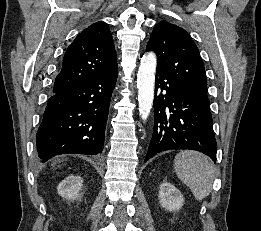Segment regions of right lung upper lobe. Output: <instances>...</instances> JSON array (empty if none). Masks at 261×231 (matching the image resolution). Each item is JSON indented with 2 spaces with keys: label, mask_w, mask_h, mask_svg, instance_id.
<instances>
[{
  "label": "right lung upper lobe",
  "mask_w": 261,
  "mask_h": 231,
  "mask_svg": "<svg viewBox=\"0 0 261 231\" xmlns=\"http://www.w3.org/2000/svg\"><path fill=\"white\" fill-rule=\"evenodd\" d=\"M116 66L117 55L109 26L96 22L82 31L67 48L53 93L73 89Z\"/></svg>",
  "instance_id": "obj_1"
}]
</instances>
